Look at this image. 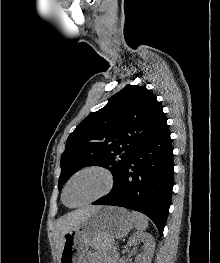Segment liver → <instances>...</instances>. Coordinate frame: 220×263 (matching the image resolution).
<instances>
[{"mask_svg":"<svg viewBox=\"0 0 220 263\" xmlns=\"http://www.w3.org/2000/svg\"><path fill=\"white\" fill-rule=\"evenodd\" d=\"M100 206H86L72 211L58 219L55 225L54 237L61 251L64 235L86 220Z\"/></svg>","mask_w":220,"mask_h":263,"instance_id":"liver-1","label":"liver"}]
</instances>
